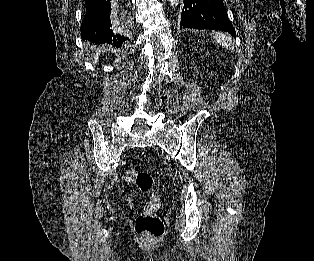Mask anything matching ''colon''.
Wrapping results in <instances>:
<instances>
[{
    "instance_id": "colon-1",
    "label": "colon",
    "mask_w": 314,
    "mask_h": 261,
    "mask_svg": "<svg viewBox=\"0 0 314 261\" xmlns=\"http://www.w3.org/2000/svg\"><path fill=\"white\" fill-rule=\"evenodd\" d=\"M125 180L134 184L142 193H149L154 185L153 176L147 171L130 169L125 174ZM159 205V199L152 197L147 207L135 221V232L149 241L160 238L165 231L163 221L156 214Z\"/></svg>"
}]
</instances>
